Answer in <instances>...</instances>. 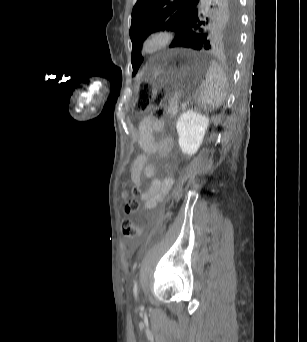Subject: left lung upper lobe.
Instances as JSON below:
<instances>
[{"mask_svg": "<svg viewBox=\"0 0 307 342\" xmlns=\"http://www.w3.org/2000/svg\"><path fill=\"white\" fill-rule=\"evenodd\" d=\"M238 0H208L203 12L200 0H138L132 10L133 75L143 62V41L158 30L175 31L170 47L233 54L239 38Z\"/></svg>", "mask_w": 307, "mask_h": 342, "instance_id": "5c2ea615", "label": "left lung upper lobe"}]
</instances>
